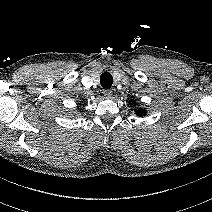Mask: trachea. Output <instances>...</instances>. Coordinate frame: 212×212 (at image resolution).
I'll use <instances>...</instances> for the list:
<instances>
[{
	"instance_id": "3493384b",
	"label": "trachea",
	"mask_w": 212,
	"mask_h": 212,
	"mask_svg": "<svg viewBox=\"0 0 212 212\" xmlns=\"http://www.w3.org/2000/svg\"><path fill=\"white\" fill-rule=\"evenodd\" d=\"M100 83L103 88L109 89L113 84V77L109 72L102 73Z\"/></svg>"
}]
</instances>
